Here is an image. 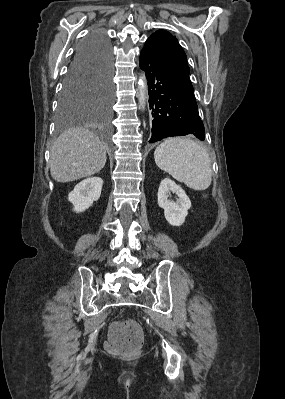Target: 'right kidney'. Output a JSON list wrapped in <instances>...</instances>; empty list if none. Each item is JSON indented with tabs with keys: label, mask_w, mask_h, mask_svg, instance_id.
<instances>
[{
	"label": "right kidney",
	"mask_w": 285,
	"mask_h": 399,
	"mask_svg": "<svg viewBox=\"0 0 285 399\" xmlns=\"http://www.w3.org/2000/svg\"><path fill=\"white\" fill-rule=\"evenodd\" d=\"M103 180L100 177H90L78 183L68 195L76 213L84 212L100 198Z\"/></svg>",
	"instance_id": "right-kidney-1"
}]
</instances>
